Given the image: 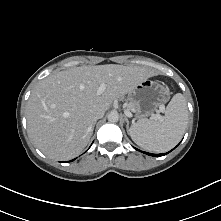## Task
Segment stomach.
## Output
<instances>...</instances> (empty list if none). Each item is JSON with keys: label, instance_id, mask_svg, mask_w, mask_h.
I'll list each match as a JSON object with an SVG mask.
<instances>
[{"label": "stomach", "instance_id": "1", "mask_svg": "<svg viewBox=\"0 0 221 221\" xmlns=\"http://www.w3.org/2000/svg\"><path fill=\"white\" fill-rule=\"evenodd\" d=\"M170 98L167 86L145 79L129 94L131 110L137 118H146Z\"/></svg>", "mask_w": 221, "mask_h": 221}]
</instances>
